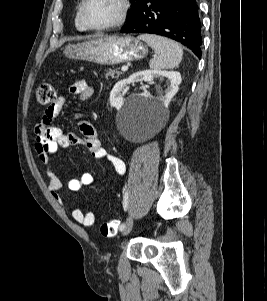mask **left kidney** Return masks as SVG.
<instances>
[{
    "label": "left kidney",
    "mask_w": 267,
    "mask_h": 301,
    "mask_svg": "<svg viewBox=\"0 0 267 301\" xmlns=\"http://www.w3.org/2000/svg\"><path fill=\"white\" fill-rule=\"evenodd\" d=\"M166 78L169 81L168 88L164 96H159L156 101L163 107H167L178 92L179 85L182 81L181 74L177 71H162V70H144L132 74L129 78L117 82L110 93V105L120 110L124 105V98L122 96L123 89L133 82H150L154 78Z\"/></svg>",
    "instance_id": "left-kidney-1"
}]
</instances>
